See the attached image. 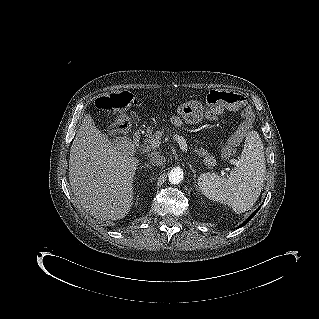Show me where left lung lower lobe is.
Wrapping results in <instances>:
<instances>
[{"label": "left lung lower lobe", "instance_id": "1", "mask_svg": "<svg viewBox=\"0 0 319 319\" xmlns=\"http://www.w3.org/2000/svg\"><path fill=\"white\" fill-rule=\"evenodd\" d=\"M259 210V209H258ZM258 210H256L243 224H241L238 228L246 225L253 217L254 215L258 212Z\"/></svg>", "mask_w": 319, "mask_h": 319}]
</instances>
